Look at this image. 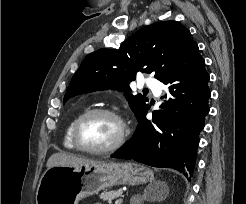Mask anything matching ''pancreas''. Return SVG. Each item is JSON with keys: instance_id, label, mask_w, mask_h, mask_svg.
Masks as SVG:
<instances>
[{"instance_id": "1", "label": "pancreas", "mask_w": 246, "mask_h": 204, "mask_svg": "<svg viewBox=\"0 0 246 204\" xmlns=\"http://www.w3.org/2000/svg\"><path fill=\"white\" fill-rule=\"evenodd\" d=\"M122 195V190H116V191H108V192H103L99 195L100 199L103 201H107L108 203H111L112 200L120 197Z\"/></svg>"}]
</instances>
